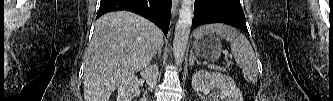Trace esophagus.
Returning a JSON list of instances; mask_svg holds the SVG:
<instances>
[{
  "mask_svg": "<svg viewBox=\"0 0 333 101\" xmlns=\"http://www.w3.org/2000/svg\"><path fill=\"white\" fill-rule=\"evenodd\" d=\"M178 0H172V11L173 13L177 12V8H178Z\"/></svg>",
  "mask_w": 333,
  "mask_h": 101,
  "instance_id": "obj_1",
  "label": "esophagus"
}]
</instances>
